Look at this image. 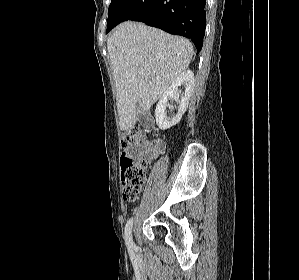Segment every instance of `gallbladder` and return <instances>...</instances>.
I'll use <instances>...</instances> for the list:
<instances>
[{"mask_svg":"<svg viewBox=\"0 0 299 280\" xmlns=\"http://www.w3.org/2000/svg\"><path fill=\"white\" fill-rule=\"evenodd\" d=\"M137 110H138V119L141 121L143 118L142 113L139 111V107L137 106Z\"/></svg>","mask_w":299,"mask_h":280,"instance_id":"gallbladder-1","label":"gallbladder"}]
</instances>
